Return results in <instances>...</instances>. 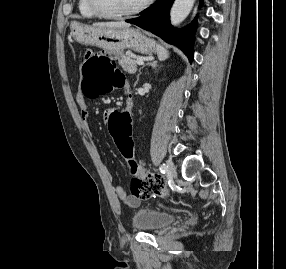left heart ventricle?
<instances>
[{"label": "left heart ventricle", "instance_id": "1", "mask_svg": "<svg viewBox=\"0 0 286 269\" xmlns=\"http://www.w3.org/2000/svg\"><path fill=\"white\" fill-rule=\"evenodd\" d=\"M145 0H97L99 7L108 13H123L138 7Z\"/></svg>", "mask_w": 286, "mask_h": 269}]
</instances>
